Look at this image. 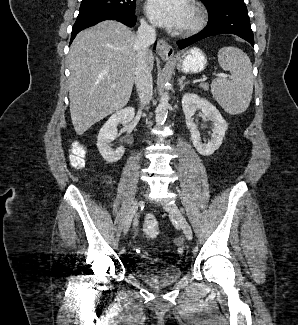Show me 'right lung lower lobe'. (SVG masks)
I'll return each instance as SVG.
<instances>
[{
	"instance_id": "1",
	"label": "right lung lower lobe",
	"mask_w": 298,
	"mask_h": 325,
	"mask_svg": "<svg viewBox=\"0 0 298 325\" xmlns=\"http://www.w3.org/2000/svg\"><path fill=\"white\" fill-rule=\"evenodd\" d=\"M103 20H117L128 27H133L136 23L134 13L123 11L98 12L86 16H78L71 33V42L81 30L93 26Z\"/></svg>"
}]
</instances>
